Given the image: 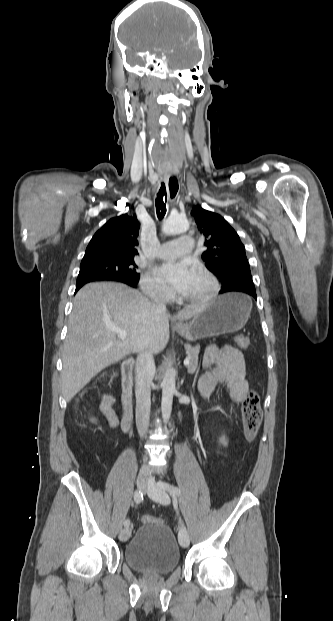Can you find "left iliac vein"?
<instances>
[{
    "mask_svg": "<svg viewBox=\"0 0 333 621\" xmlns=\"http://www.w3.org/2000/svg\"><path fill=\"white\" fill-rule=\"evenodd\" d=\"M147 492H148L149 497L153 501L160 503L162 505H167L169 503V497L167 493L165 492L164 489L158 486V484L155 482L152 476H149L148 478ZM178 539H179V544L183 548H186L189 546L190 538H189L188 531L186 530L184 526H182L179 530Z\"/></svg>",
    "mask_w": 333,
    "mask_h": 621,
    "instance_id": "4c4485c4",
    "label": "left iliac vein"
}]
</instances>
